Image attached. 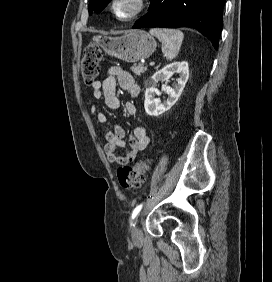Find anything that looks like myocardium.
I'll list each match as a JSON object with an SVG mask.
<instances>
[{
  "instance_id": "obj_1",
  "label": "myocardium",
  "mask_w": 272,
  "mask_h": 282,
  "mask_svg": "<svg viewBox=\"0 0 272 282\" xmlns=\"http://www.w3.org/2000/svg\"><path fill=\"white\" fill-rule=\"evenodd\" d=\"M120 2L121 0H113L111 9L115 17L119 19L120 21H124V22H129V21L137 19L145 11L147 7V0H135L136 2L135 10L130 15L126 17H121L118 15V12H117V6Z\"/></svg>"
}]
</instances>
